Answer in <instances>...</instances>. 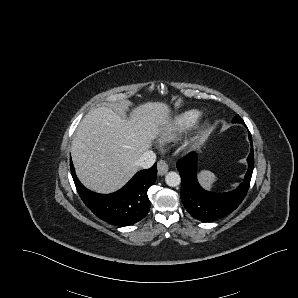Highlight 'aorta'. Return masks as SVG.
Returning <instances> with one entry per match:
<instances>
[{
	"instance_id": "762f6f07",
	"label": "aorta",
	"mask_w": 298,
	"mask_h": 298,
	"mask_svg": "<svg viewBox=\"0 0 298 298\" xmlns=\"http://www.w3.org/2000/svg\"><path fill=\"white\" fill-rule=\"evenodd\" d=\"M165 183L170 187H176L181 184V176L176 171H169L165 174Z\"/></svg>"
}]
</instances>
